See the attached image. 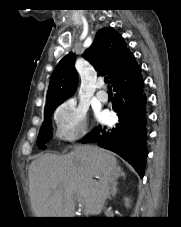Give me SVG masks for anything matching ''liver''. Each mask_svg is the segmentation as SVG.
Wrapping results in <instances>:
<instances>
[{
    "label": "liver",
    "mask_w": 181,
    "mask_h": 227,
    "mask_svg": "<svg viewBox=\"0 0 181 227\" xmlns=\"http://www.w3.org/2000/svg\"><path fill=\"white\" fill-rule=\"evenodd\" d=\"M119 168L111 152L92 145H76L63 156L40 155L28 174L34 215L74 217L76 200L88 214H100Z\"/></svg>",
    "instance_id": "6515ba94"
}]
</instances>
